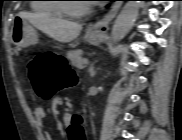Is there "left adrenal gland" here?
I'll return each mask as SVG.
<instances>
[{
    "instance_id": "a2214340",
    "label": "left adrenal gland",
    "mask_w": 182,
    "mask_h": 140,
    "mask_svg": "<svg viewBox=\"0 0 182 140\" xmlns=\"http://www.w3.org/2000/svg\"><path fill=\"white\" fill-rule=\"evenodd\" d=\"M89 73H90V76L91 77H94L96 75V71L94 69V64H92L90 67H89Z\"/></svg>"
}]
</instances>
